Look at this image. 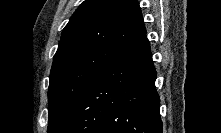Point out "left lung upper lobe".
<instances>
[{"label": "left lung upper lobe", "instance_id": "1", "mask_svg": "<svg viewBox=\"0 0 221 133\" xmlns=\"http://www.w3.org/2000/svg\"><path fill=\"white\" fill-rule=\"evenodd\" d=\"M146 37L137 0H85L53 58L48 133H55L92 81Z\"/></svg>", "mask_w": 221, "mask_h": 133}]
</instances>
